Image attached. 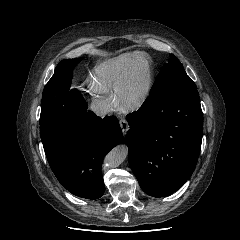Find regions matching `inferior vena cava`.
I'll use <instances>...</instances> for the list:
<instances>
[{
	"mask_svg": "<svg viewBox=\"0 0 240 240\" xmlns=\"http://www.w3.org/2000/svg\"><path fill=\"white\" fill-rule=\"evenodd\" d=\"M91 110L99 117H104L109 113V105L102 99H94L91 102Z\"/></svg>",
	"mask_w": 240,
	"mask_h": 240,
	"instance_id": "obj_1",
	"label": "inferior vena cava"
}]
</instances>
